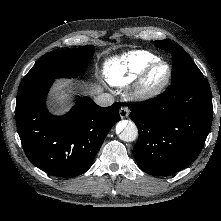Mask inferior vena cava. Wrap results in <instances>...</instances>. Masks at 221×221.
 <instances>
[{
	"label": "inferior vena cava",
	"instance_id": "inferior-vena-cava-1",
	"mask_svg": "<svg viewBox=\"0 0 221 221\" xmlns=\"http://www.w3.org/2000/svg\"><path fill=\"white\" fill-rule=\"evenodd\" d=\"M95 102L102 107L111 106L114 103V97L109 93H102L95 97Z\"/></svg>",
	"mask_w": 221,
	"mask_h": 221
}]
</instances>
